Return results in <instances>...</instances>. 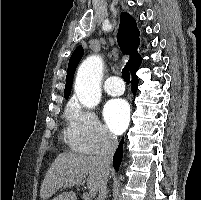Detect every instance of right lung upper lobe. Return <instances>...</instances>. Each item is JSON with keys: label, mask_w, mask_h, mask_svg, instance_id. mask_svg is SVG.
I'll list each match as a JSON object with an SVG mask.
<instances>
[{"label": "right lung upper lobe", "mask_w": 201, "mask_h": 200, "mask_svg": "<svg viewBox=\"0 0 201 200\" xmlns=\"http://www.w3.org/2000/svg\"><path fill=\"white\" fill-rule=\"evenodd\" d=\"M117 39L122 52L130 55L127 65L129 66L132 74L139 69L142 58L137 51L139 45V30L137 28L135 19L127 12L121 13ZM83 53L84 50L82 46H78L70 57L64 91L65 99H68L70 95L74 73L79 61L83 56Z\"/></svg>", "instance_id": "right-lung-upper-lobe-1"}]
</instances>
